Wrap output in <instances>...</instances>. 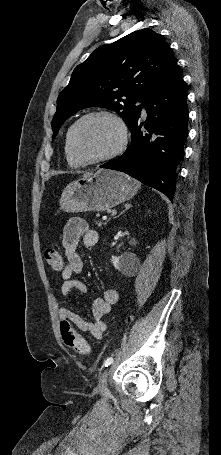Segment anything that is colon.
I'll use <instances>...</instances> for the list:
<instances>
[{"instance_id": "obj_1", "label": "colon", "mask_w": 221, "mask_h": 455, "mask_svg": "<svg viewBox=\"0 0 221 455\" xmlns=\"http://www.w3.org/2000/svg\"><path fill=\"white\" fill-rule=\"evenodd\" d=\"M44 257L51 269L55 271H63L65 269L66 262L56 249H46ZM60 330L62 340L68 347L77 353L84 355L90 352L89 343L74 330L72 325L67 320L61 321Z\"/></svg>"}]
</instances>
